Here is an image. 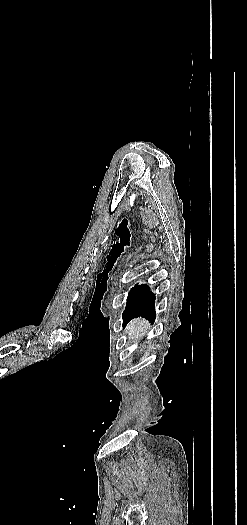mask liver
<instances>
[{
  "label": "liver",
  "mask_w": 247,
  "mask_h": 525,
  "mask_svg": "<svg viewBox=\"0 0 247 525\" xmlns=\"http://www.w3.org/2000/svg\"><path fill=\"white\" fill-rule=\"evenodd\" d=\"M149 327L148 321L146 319H133L129 325H127L125 331L129 335V339H133V343L140 341L146 333Z\"/></svg>",
  "instance_id": "1"
}]
</instances>
